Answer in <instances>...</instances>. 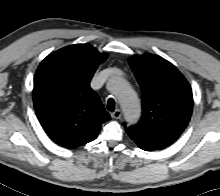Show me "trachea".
Listing matches in <instances>:
<instances>
[{
    "label": "trachea",
    "instance_id": "trachea-1",
    "mask_svg": "<svg viewBox=\"0 0 220 196\" xmlns=\"http://www.w3.org/2000/svg\"><path fill=\"white\" fill-rule=\"evenodd\" d=\"M107 109H108L109 111H114V110H115V101H114L112 98H109V99H108Z\"/></svg>",
    "mask_w": 220,
    "mask_h": 196
}]
</instances>
